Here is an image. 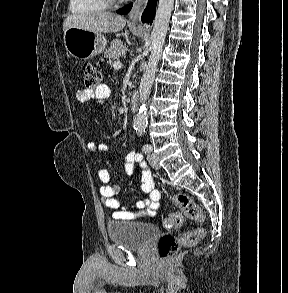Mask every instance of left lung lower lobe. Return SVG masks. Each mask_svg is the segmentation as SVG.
<instances>
[{"instance_id":"0a47b994","label":"left lung lower lobe","mask_w":288,"mask_h":293,"mask_svg":"<svg viewBox=\"0 0 288 293\" xmlns=\"http://www.w3.org/2000/svg\"><path fill=\"white\" fill-rule=\"evenodd\" d=\"M132 6H133V4L131 3V4L127 5V6H125V7L117 10V13H119V14H127L132 9Z\"/></svg>"}]
</instances>
